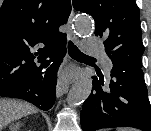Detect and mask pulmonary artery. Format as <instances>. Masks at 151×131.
Returning <instances> with one entry per match:
<instances>
[{
    "label": "pulmonary artery",
    "instance_id": "1",
    "mask_svg": "<svg viewBox=\"0 0 151 131\" xmlns=\"http://www.w3.org/2000/svg\"><path fill=\"white\" fill-rule=\"evenodd\" d=\"M85 51H87L90 54L99 55L102 58V63L104 65L105 71L107 73L110 72L112 68L111 61L104 55L102 47L98 40L96 39H88L84 46Z\"/></svg>",
    "mask_w": 151,
    "mask_h": 131
}]
</instances>
